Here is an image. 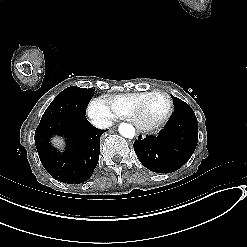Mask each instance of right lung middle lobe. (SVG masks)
Wrapping results in <instances>:
<instances>
[{
  "label": "right lung middle lobe",
  "mask_w": 247,
  "mask_h": 247,
  "mask_svg": "<svg viewBox=\"0 0 247 247\" xmlns=\"http://www.w3.org/2000/svg\"><path fill=\"white\" fill-rule=\"evenodd\" d=\"M94 89L71 86L63 90L48 106L41 121L63 117H84Z\"/></svg>",
  "instance_id": "1"
}]
</instances>
